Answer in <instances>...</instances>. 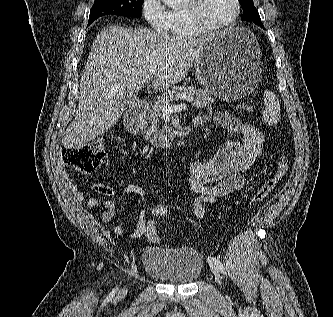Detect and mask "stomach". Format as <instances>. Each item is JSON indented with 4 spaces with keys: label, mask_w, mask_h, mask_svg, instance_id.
<instances>
[{
    "label": "stomach",
    "mask_w": 333,
    "mask_h": 317,
    "mask_svg": "<svg viewBox=\"0 0 333 317\" xmlns=\"http://www.w3.org/2000/svg\"><path fill=\"white\" fill-rule=\"evenodd\" d=\"M205 91L228 101L256 95L260 81V48L255 35L232 27L210 37L194 62Z\"/></svg>",
    "instance_id": "stomach-1"
}]
</instances>
